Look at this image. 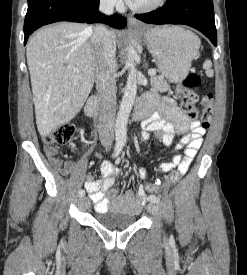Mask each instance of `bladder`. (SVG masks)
I'll use <instances>...</instances> for the list:
<instances>
[{"label":"bladder","instance_id":"31cf9c89","mask_svg":"<svg viewBox=\"0 0 247 275\" xmlns=\"http://www.w3.org/2000/svg\"><path fill=\"white\" fill-rule=\"evenodd\" d=\"M96 222L108 230H122L134 225L138 219L135 215L107 210L98 212Z\"/></svg>","mask_w":247,"mask_h":275}]
</instances>
